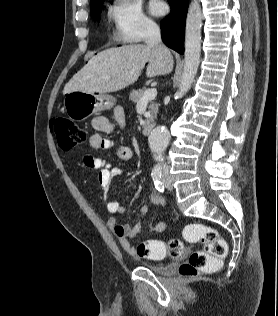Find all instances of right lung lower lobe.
Here are the masks:
<instances>
[{"mask_svg": "<svg viewBox=\"0 0 278 316\" xmlns=\"http://www.w3.org/2000/svg\"><path fill=\"white\" fill-rule=\"evenodd\" d=\"M168 2L171 13L161 22L162 40L168 47L183 54L188 0H168Z\"/></svg>", "mask_w": 278, "mask_h": 316, "instance_id": "right-lung-lower-lobe-1", "label": "right lung lower lobe"}]
</instances>
